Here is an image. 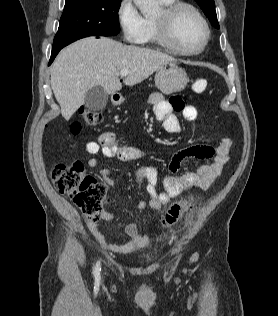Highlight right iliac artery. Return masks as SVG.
Masks as SVG:
<instances>
[{
    "mask_svg": "<svg viewBox=\"0 0 278 316\" xmlns=\"http://www.w3.org/2000/svg\"><path fill=\"white\" fill-rule=\"evenodd\" d=\"M100 262H98L94 268L93 274L95 276V278L98 280L99 279V275H100Z\"/></svg>",
    "mask_w": 278,
    "mask_h": 316,
    "instance_id": "82829eb1",
    "label": "right iliac artery"
}]
</instances>
